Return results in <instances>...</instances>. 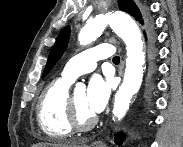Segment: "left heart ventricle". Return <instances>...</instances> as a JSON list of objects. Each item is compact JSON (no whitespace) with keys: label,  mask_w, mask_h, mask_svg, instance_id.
<instances>
[{"label":"left heart ventricle","mask_w":183,"mask_h":147,"mask_svg":"<svg viewBox=\"0 0 183 147\" xmlns=\"http://www.w3.org/2000/svg\"><path fill=\"white\" fill-rule=\"evenodd\" d=\"M74 103L76 105V108L78 110V113L80 117L84 120H88L94 115L89 112V110L86 107V94L85 92H80L77 93L76 95L73 96Z\"/></svg>","instance_id":"b2bd125f"}]
</instances>
